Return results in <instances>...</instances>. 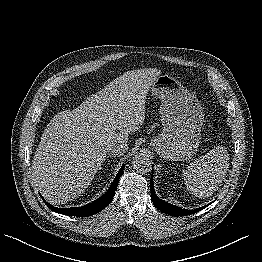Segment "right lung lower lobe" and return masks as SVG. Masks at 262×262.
Listing matches in <instances>:
<instances>
[{"label":"right lung lower lobe","instance_id":"1","mask_svg":"<svg viewBox=\"0 0 262 262\" xmlns=\"http://www.w3.org/2000/svg\"><path fill=\"white\" fill-rule=\"evenodd\" d=\"M123 170H124V166L121 167L114 181L112 182L110 188L107 190L105 194H103L99 199L87 205H84L81 207L57 208V207L50 205L45 200L44 201L52 211L61 213L67 216L87 217V216L94 215L100 212L101 210H103L113 199V196L115 194V191L118 186L119 179L123 173Z\"/></svg>","mask_w":262,"mask_h":262}]
</instances>
